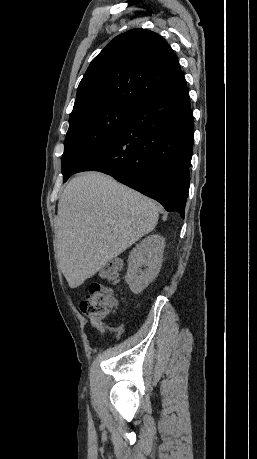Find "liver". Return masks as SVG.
Segmentation results:
<instances>
[{"label": "liver", "mask_w": 257, "mask_h": 459, "mask_svg": "<svg viewBox=\"0 0 257 459\" xmlns=\"http://www.w3.org/2000/svg\"><path fill=\"white\" fill-rule=\"evenodd\" d=\"M159 207L99 172L73 178L58 202L56 241L61 270L71 288L151 232Z\"/></svg>", "instance_id": "6515ba94"}]
</instances>
